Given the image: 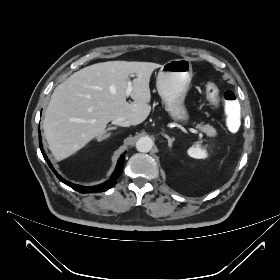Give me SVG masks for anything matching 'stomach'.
I'll return each mask as SVG.
<instances>
[{
  "label": "stomach",
  "instance_id": "1",
  "mask_svg": "<svg viewBox=\"0 0 280 280\" xmlns=\"http://www.w3.org/2000/svg\"><path fill=\"white\" fill-rule=\"evenodd\" d=\"M192 79L190 60L173 59L160 68L156 87L169 116L176 121H188L189 114L184 101Z\"/></svg>",
  "mask_w": 280,
  "mask_h": 280
}]
</instances>
